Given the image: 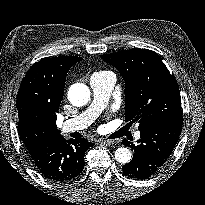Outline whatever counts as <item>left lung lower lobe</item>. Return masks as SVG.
I'll return each mask as SVG.
<instances>
[{"label": "left lung lower lobe", "instance_id": "1", "mask_svg": "<svg viewBox=\"0 0 205 205\" xmlns=\"http://www.w3.org/2000/svg\"><path fill=\"white\" fill-rule=\"evenodd\" d=\"M181 129L182 120H172L140 131L137 146L124 139L123 144L134 150L131 162L122 167L124 175L147 179L159 171L177 144Z\"/></svg>", "mask_w": 205, "mask_h": 205}]
</instances>
